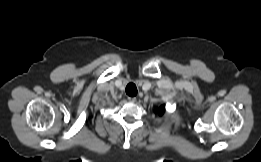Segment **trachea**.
I'll list each match as a JSON object with an SVG mask.
<instances>
[{
	"mask_svg": "<svg viewBox=\"0 0 261 162\" xmlns=\"http://www.w3.org/2000/svg\"><path fill=\"white\" fill-rule=\"evenodd\" d=\"M126 93H127V95H129L131 97L136 96V94H137V87H136V85L133 84V83H129L126 86Z\"/></svg>",
	"mask_w": 261,
	"mask_h": 162,
	"instance_id": "trachea-1",
	"label": "trachea"
}]
</instances>
